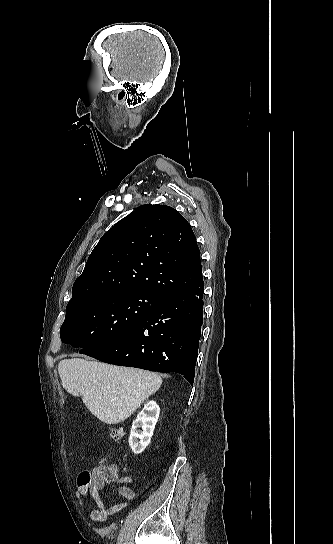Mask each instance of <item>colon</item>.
Masks as SVG:
<instances>
[{"instance_id": "1", "label": "colon", "mask_w": 333, "mask_h": 544, "mask_svg": "<svg viewBox=\"0 0 333 544\" xmlns=\"http://www.w3.org/2000/svg\"><path fill=\"white\" fill-rule=\"evenodd\" d=\"M109 434L112 439L120 440L124 436V431L120 427H109ZM117 475L116 467L110 465H101L96 473L92 471H83L79 476V482L83 485H93L99 482L106 483L115 480Z\"/></svg>"}]
</instances>
